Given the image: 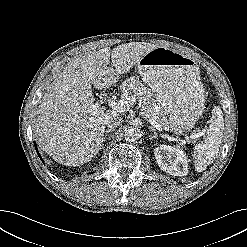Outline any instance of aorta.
<instances>
[{"label":"aorta","instance_id":"obj_1","mask_svg":"<svg viewBox=\"0 0 247 247\" xmlns=\"http://www.w3.org/2000/svg\"><path fill=\"white\" fill-rule=\"evenodd\" d=\"M124 139L126 141H135L139 138V132L136 128L126 127L123 131Z\"/></svg>","mask_w":247,"mask_h":247}]
</instances>
